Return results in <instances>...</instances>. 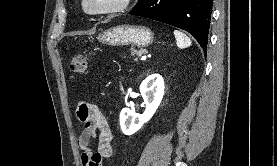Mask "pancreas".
Returning a JSON list of instances; mask_svg holds the SVG:
<instances>
[{
    "mask_svg": "<svg viewBox=\"0 0 277 166\" xmlns=\"http://www.w3.org/2000/svg\"><path fill=\"white\" fill-rule=\"evenodd\" d=\"M145 52H146V50H144V49L131 48V56L135 57V60H138V58Z\"/></svg>",
    "mask_w": 277,
    "mask_h": 166,
    "instance_id": "pancreas-1",
    "label": "pancreas"
}]
</instances>
